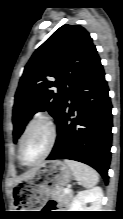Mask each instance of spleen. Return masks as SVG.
Listing matches in <instances>:
<instances>
[{"label": "spleen", "mask_w": 123, "mask_h": 219, "mask_svg": "<svg viewBox=\"0 0 123 219\" xmlns=\"http://www.w3.org/2000/svg\"><path fill=\"white\" fill-rule=\"evenodd\" d=\"M65 163L71 168L75 179L85 188H92L98 183V173L91 167L72 160H65Z\"/></svg>", "instance_id": "1"}]
</instances>
